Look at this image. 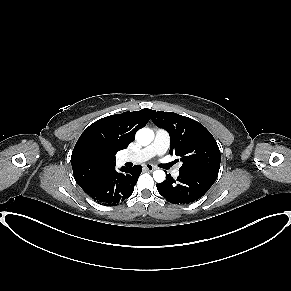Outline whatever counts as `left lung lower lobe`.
I'll return each instance as SVG.
<instances>
[{
	"label": "left lung lower lobe",
	"instance_id": "1",
	"mask_svg": "<svg viewBox=\"0 0 291 291\" xmlns=\"http://www.w3.org/2000/svg\"><path fill=\"white\" fill-rule=\"evenodd\" d=\"M177 179L167 175L157 184L158 192L170 203L188 204L201 198L214 184L218 175L207 172H182Z\"/></svg>",
	"mask_w": 291,
	"mask_h": 291
}]
</instances>
